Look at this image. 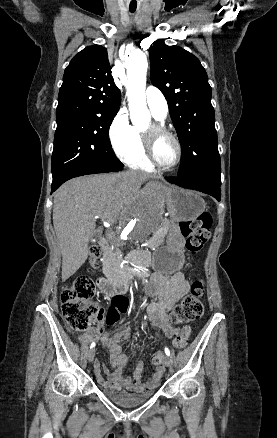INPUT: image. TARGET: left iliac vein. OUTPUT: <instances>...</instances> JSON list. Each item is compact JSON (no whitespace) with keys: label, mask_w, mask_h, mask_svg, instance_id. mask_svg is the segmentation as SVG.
Returning <instances> with one entry per match:
<instances>
[{"label":"left iliac vein","mask_w":277,"mask_h":438,"mask_svg":"<svg viewBox=\"0 0 277 438\" xmlns=\"http://www.w3.org/2000/svg\"><path fill=\"white\" fill-rule=\"evenodd\" d=\"M163 363H164V365H165L166 367H170L171 364H172V360H171V358H170L169 356H165V357H164V361H163Z\"/></svg>","instance_id":"1"}]
</instances>
